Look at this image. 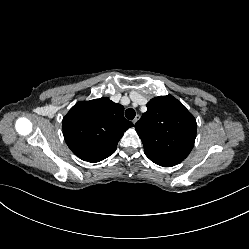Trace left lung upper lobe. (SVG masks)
Instances as JSON below:
<instances>
[{
    "instance_id": "left-lung-upper-lobe-1",
    "label": "left lung upper lobe",
    "mask_w": 249,
    "mask_h": 249,
    "mask_svg": "<svg viewBox=\"0 0 249 249\" xmlns=\"http://www.w3.org/2000/svg\"><path fill=\"white\" fill-rule=\"evenodd\" d=\"M146 106L147 111L135 124L146 156L163 167L179 164L194 146V116L171 95L153 98Z\"/></svg>"
}]
</instances>
